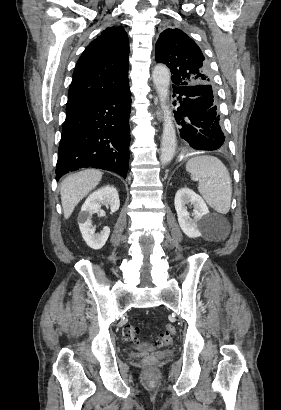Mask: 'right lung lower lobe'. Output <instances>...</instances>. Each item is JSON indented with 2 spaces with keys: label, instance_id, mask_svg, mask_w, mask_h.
<instances>
[{
  "label": "right lung lower lobe",
  "instance_id": "98d812e1",
  "mask_svg": "<svg viewBox=\"0 0 281 410\" xmlns=\"http://www.w3.org/2000/svg\"><path fill=\"white\" fill-rule=\"evenodd\" d=\"M129 85L66 112L56 180L80 168L114 171L126 178L129 164Z\"/></svg>",
  "mask_w": 281,
  "mask_h": 410
}]
</instances>
